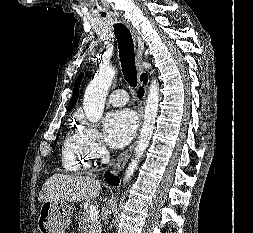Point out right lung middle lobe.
Returning <instances> with one entry per match:
<instances>
[{"instance_id": "dd1d6c3e", "label": "right lung middle lobe", "mask_w": 253, "mask_h": 233, "mask_svg": "<svg viewBox=\"0 0 253 233\" xmlns=\"http://www.w3.org/2000/svg\"><path fill=\"white\" fill-rule=\"evenodd\" d=\"M58 136H59V133H58V135H57V139H58ZM57 139H56V140H57Z\"/></svg>"}]
</instances>
